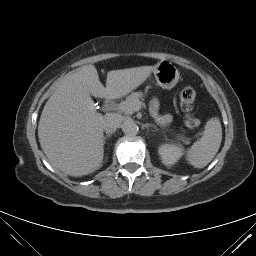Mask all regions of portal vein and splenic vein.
<instances>
[{
	"mask_svg": "<svg viewBox=\"0 0 256 256\" xmlns=\"http://www.w3.org/2000/svg\"><path fill=\"white\" fill-rule=\"evenodd\" d=\"M121 108H125L124 106H121ZM141 108V102H138L136 103L134 106H133V110L134 111H139Z\"/></svg>",
	"mask_w": 256,
	"mask_h": 256,
	"instance_id": "obj_1",
	"label": "portal vein and splenic vein"
}]
</instances>
